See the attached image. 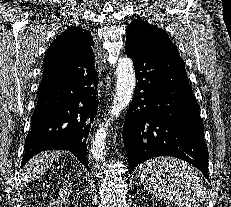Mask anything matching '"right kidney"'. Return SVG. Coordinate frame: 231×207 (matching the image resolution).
Instances as JSON below:
<instances>
[{"mask_svg": "<svg viewBox=\"0 0 231 207\" xmlns=\"http://www.w3.org/2000/svg\"><path fill=\"white\" fill-rule=\"evenodd\" d=\"M60 197L58 200L55 201L56 205H62L63 203L65 204L66 202V196L69 195L66 191L65 192H60L59 193Z\"/></svg>", "mask_w": 231, "mask_h": 207, "instance_id": "right-kidney-1", "label": "right kidney"}]
</instances>
